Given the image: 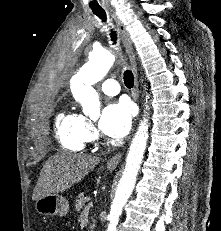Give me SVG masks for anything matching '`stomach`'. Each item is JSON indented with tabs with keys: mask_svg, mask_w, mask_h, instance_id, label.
<instances>
[{
	"mask_svg": "<svg viewBox=\"0 0 221 231\" xmlns=\"http://www.w3.org/2000/svg\"><path fill=\"white\" fill-rule=\"evenodd\" d=\"M108 169L113 170V168ZM35 210L46 216H66L69 211V203L62 195L50 194L36 200Z\"/></svg>",
	"mask_w": 221,
	"mask_h": 231,
	"instance_id": "1",
	"label": "stomach"
}]
</instances>
